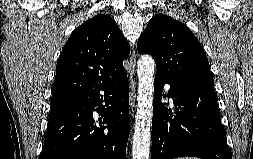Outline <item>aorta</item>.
<instances>
[{
  "instance_id": "1",
  "label": "aorta",
  "mask_w": 253,
  "mask_h": 159,
  "mask_svg": "<svg viewBox=\"0 0 253 159\" xmlns=\"http://www.w3.org/2000/svg\"><path fill=\"white\" fill-rule=\"evenodd\" d=\"M137 112L132 144V159H149L153 115L155 62L149 55L138 61Z\"/></svg>"
}]
</instances>
